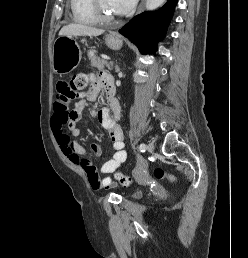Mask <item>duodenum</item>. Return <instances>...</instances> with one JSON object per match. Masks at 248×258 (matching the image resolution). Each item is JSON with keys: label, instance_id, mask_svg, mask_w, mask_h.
Listing matches in <instances>:
<instances>
[{"label": "duodenum", "instance_id": "410a0bca", "mask_svg": "<svg viewBox=\"0 0 248 258\" xmlns=\"http://www.w3.org/2000/svg\"><path fill=\"white\" fill-rule=\"evenodd\" d=\"M107 96L111 98L114 93V86L111 82L106 81Z\"/></svg>", "mask_w": 248, "mask_h": 258}]
</instances>
